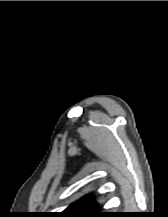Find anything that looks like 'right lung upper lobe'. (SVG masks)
Wrapping results in <instances>:
<instances>
[{
  "label": "right lung upper lobe",
  "instance_id": "obj_1",
  "mask_svg": "<svg viewBox=\"0 0 168 217\" xmlns=\"http://www.w3.org/2000/svg\"><path fill=\"white\" fill-rule=\"evenodd\" d=\"M109 213L101 212L98 203L91 196H85L71 204L59 217H105Z\"/></svg>",
  "mask_w": 168,
  "mask_h": 217
}]
</instances>
